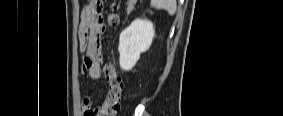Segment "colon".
<instances>
[{
    "mask_svg": "<svg viewBox=\"0 0 283 116\" xmlns=\"http://www.w3.org/2000/svg\"><path fill=\"white\" fill-rule=\"evenodd\" d=\"M118 22V7L113 2L107 15V24L113 29L118 25ZM103 72L109 85V91L103 104V112L106 116H114L120 111V99L124 90V83L117 67L113 63L106 62L103 66Z\"/></svg>",
    "mask_w": 283,
    "mask_h": 116,
    "instance_id": "5ec220e1",
    "label": "colon"
}]
</instances>
